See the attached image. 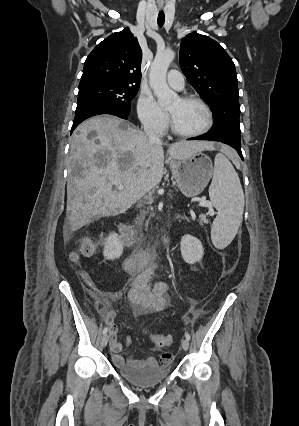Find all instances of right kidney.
I'll return each mask as SVG.
<instances>
[{
	"label": "right kidney",
	"mask_w": 299,
	"mask_h": 426,
	"mask_svg": "<svg viewBox=\"0 0 299 426\" xmlns=\"http://www.w3.org/2000/svg\"><path fill=\"white\" fill-rule=\"evenodd\" d=\"M123 253V243L117 233H110L106 238L103 255L107 260L119 258Z\"/></svg>",
	"instance_id": "ca27d5eb"
}]
</instances>
